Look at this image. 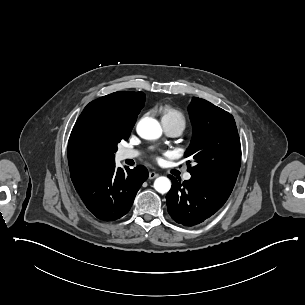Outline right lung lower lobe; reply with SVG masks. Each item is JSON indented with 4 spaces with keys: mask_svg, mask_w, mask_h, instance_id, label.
Returning a JSON list of instances; mask_svg holds the SVG:
<instances>
[{
    "mask_svg": "<svg viewBox=\"0 0 305 305\" xmlns=\"http://www.w3.org/2000/svg\"><path fill=\"white\" fill-rule=\"evenodd\" d=\"M148 178V171L137 166L126 172L115 163L73 181L74 187L88 210L98 219L114 221L131 208L136 193Z\"/></svg>",
    "mask_w": 305,
    "mask_h": 305,
    "instance_id": "right-lung-lower-lobe-1",
    "label": "right lung lower lobe"
}]
</instances>
